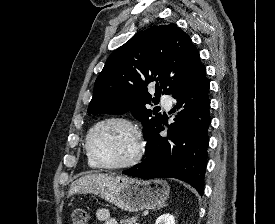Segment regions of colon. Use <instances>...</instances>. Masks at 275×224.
Wrapping results in <instances>:
<instances>
[{
	"instance_id": "obj_1",
	"label": "colon",
	"mask_w": 275,
	"mask_h": 224,
	"mask_svg": "<svg viewBox=\"0 0 275 224\" xmlns=\"http://www.w3.org/2000/svg\"><path fill=\"white\" fill-rule=\"evenodd\" d=\"M72 223L73 224H88L89 214L83 208H77L72 213Z\"/></svg>"
}]
</instances>
